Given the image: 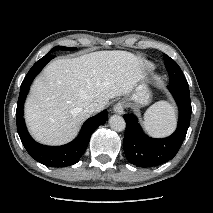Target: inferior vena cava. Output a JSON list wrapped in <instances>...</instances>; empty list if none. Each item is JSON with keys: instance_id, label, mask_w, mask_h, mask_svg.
<instances>
[{"instance_id": "602c4592", "label": "inferior vena cava", "mask_w": 213, "mask_h": 213, "mask_svg": "<svg viewBox=\"0 0 213 213\" xmlns=\"http://www.w3.org/2000/svg\"><path fill=\"white\" fill-rule=\"evenodd\" d=\"M100 109L101 108L97 103H91L85 108V111L89 114H92V113H95V112H99Z\"/></svg>"}]
</instances>
